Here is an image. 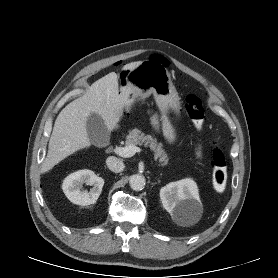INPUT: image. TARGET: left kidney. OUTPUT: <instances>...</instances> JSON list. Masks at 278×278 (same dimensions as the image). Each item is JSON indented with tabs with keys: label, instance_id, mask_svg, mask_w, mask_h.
Wrapping results in <instances>:
<instances>
[{
	"label": "left kidney",
	"instance_id": "left-kidney-1",
	"mask_svg": "<svg viewBox=\"0 0 278 278\" xmlns=\"http://www.w3.org/2000/svg\"><path fill=\"white\" fill-rule=\"evenodd\" d=\"M160 199L163 207L178 224H194L201 215L202 203L197 185L192 179H182L162 187Z\"/></svg>",
	"mask_w": 278,
	"mask_h": 278
}]
</instances>
